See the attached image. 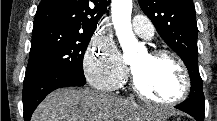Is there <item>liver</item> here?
<instances>
[{
	"label": "liver",
	"mask_w": 217,
	"mask_h": 121,
	"mask_svg": "<svg viewBox=\"0 0 217 121\" xmlns=\"http://www.w3.org/2000/svg\"><path fill=\"white\" fill-rule=\"evenodd\" d=\"M158 114L128 98L89 89L60 88L37 107L31 121H154Z\"/></svg>",
	"instance_id": "1"
}]
</instances>
